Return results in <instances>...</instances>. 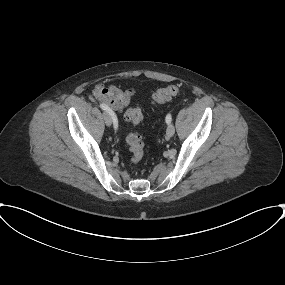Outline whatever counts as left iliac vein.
<instances>
[{"label": "left iliac vein", "mask_w": 285, "mask_h": 285, "mask_svg": "<svg viewBox=\"0 0 285 285\" xmlns=\"http://www.w3.org/2000/svg\"><path fill=\"white\" fill-rule=\"evenodd\" d=\"M175 133V127L173 124L169 123L167 126L166 134L168 137H172Z\"/></svg>", "instance_id": "4c4485c4"}]
</instances>
